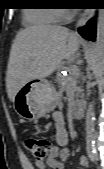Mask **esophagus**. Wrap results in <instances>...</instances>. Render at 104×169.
I'll return each mask as SVG.
<instances>
[{
  "instance_id": "obj_1",
  "label": "esophagus",
  "mask_w": 104,
  "mask_h": 169,
  "mask_svg": "<svg viewBox=\"0 0 104 169\" xmlns=\"http://www.w3.org/2000/svg\"><path fill=\"white\" fill-rule=\"evenodd\" d=\"M93 14H94L93 9H86L78 20L77 28L85 25L89 21V19L93 16Z\"/></svg>"
}]
</instances>
